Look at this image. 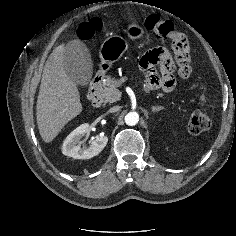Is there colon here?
<instances>
[{
  "label": "colon",
  "mask_w": 236,
  "mask_h": 236,
  "mask_svg": "<svg viewBox=\"0 0 236 236\" xmlns=\"http://www.w3.org/2000/svg\"><path fill=\"white\" fill-rule=\"evenodd\" d=\"M103 27L99 19H92L89 23L82 24L78 29V36L82 40H91ZM145 28L153 33L159 40L170 41L176 55L186 58L188 55L189 43L184 35L179 33L174 25L160 18L157 15H150L145 20ZM202 109L192 113L188 128L192 134H199L211 127V120L207 110L211 107V100L203 95L200 99Z\"/></svg>",
  "instance_id": "colon-1"
}]
</instances>
